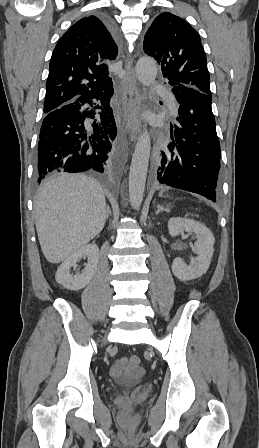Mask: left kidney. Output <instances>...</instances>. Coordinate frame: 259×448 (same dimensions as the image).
I'll use <instances>...</instances> for the list:
<instances>
[{
    "mask_svg": "<svg viewBox=\"0 0 259 448\" xmlns=\"http://www.w3.org/2000/svg\"><path fill=\"white\" fill-rule=\"evenodd\" d=\"M168 230L170 236H179L182 232H194L197 236L195 242L197 258L192 260L190 266H187L181 258H175L171 266L174 276L181 282L201 278L207 272L214 252L215 238L212 232L204 224L185 218H170Z\"/></svg>",
    "mask_w": 259,
    "mask_h": 448,
    "instance_id": "obj_1",
    "label": "left kidney"
}]
</instances>
